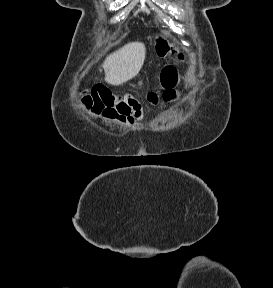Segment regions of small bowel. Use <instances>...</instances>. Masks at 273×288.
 <instances>
[{"label": "small bowel", "mask_w": 273, "mask_h": 288, "mask_svg": "<svg viewBox=\"0 0 273 288\" xmlns=\"http://www.w3.org/2000/svg\"><path fill=\"white\" fill-rule=\"evenodd\" d=\"M137 118H142V112H141L140 107H139L138 112H137Z\"/></svg>", "instance_id": "c3829d8e"}]
</instances>
